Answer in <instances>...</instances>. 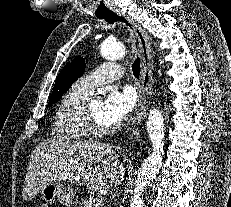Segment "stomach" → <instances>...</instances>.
<instances>
[{"label": "stomach", "instance_id": "0dacf381", "mask_svg": "<svg viewBox=\"0 0 231 207\" xmlns=\"http://www.w3.org/2000/svg\"><path fill=\"white\" fill-rule=\"evenodd\" d=\"M42 200L49 205L58 201L64 207H72L75 203L76 192L66 181H51L39 191Z\"/></svg>", "mask_w": 231, "mask_h": 207}]
</instances>
